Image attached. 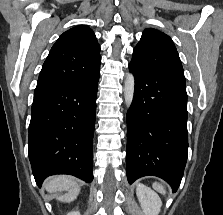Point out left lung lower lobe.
<instances>
[{
    "instance_id": "left-lung-lower-lobe-1",
    "label": "left lung lower lobe",
    "mask_w": 223,
    "mask_h": 215,
    "mask_svg": "<svg viewBox=\"0 0 223 215\" xmlns=\"http://www.w3.org/2000/svg\"><path fill=\"white\" fill-rule=\"evenodd\" d=\"M129 69L135 91L127 112L128 182L153 175L167 181L176 192L188 152L186 85L131 63Z\"/></svg>"
}]
</instances>
